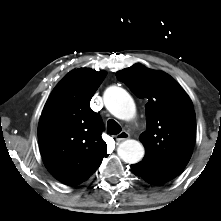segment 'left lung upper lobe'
Returning <instances> with one entry per match:
<instances>
[{
  "label": "left lung upper lobe",
  "mask_w": 221,
  "mask_h": 221,
  "mask_svg": "<svg viewBox=\"0 0 221 221\" xmlns=\"http://www.w3.org/2000/svg\"><path fill=\"white\" fill-rule=\"evenodd\" d=\"M116 77L147 100V129L140 135L145 157L131 166L132 171L152 185H162L179 175L192 155L196 135L192 102L171 76L141 64Z\"/></svg>",
  "instance_id": "5c2ea615"
}]
</instances>
